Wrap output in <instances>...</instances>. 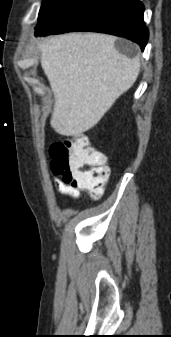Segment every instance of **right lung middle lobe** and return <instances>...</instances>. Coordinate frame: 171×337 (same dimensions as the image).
I'll list each match as a JSON object with an SVG mask.
<instances>
[{
    "label": "right lung middle lobe",
    "mask_w": 171,
    "mask_h": 337,
    "mask_svg": "<svg viewBox=\"0 0 171 337\" xmlns=\"http://www.w3.org/2000/svg\"><path fill=\"white\" fill-rule=\"evenodd\" d=\"M70 1L71 0H43L36 28L50 21L54 16L60 13Z\"/></svg>",
    "instance_id": "right-lung-middle-lobe-1"
}]
</instances>
